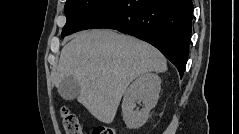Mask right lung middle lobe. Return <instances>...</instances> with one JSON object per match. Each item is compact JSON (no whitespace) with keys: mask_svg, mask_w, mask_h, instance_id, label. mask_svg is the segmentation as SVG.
Returning a JSON list of instances; mask_svg holds the SVG:
<instances>
[{"mask_svg":"<svg viewBox=\"0 0 239 134\" xmlns=\"http://www.w3.org/2000/svg\"><path fill=\"white\" fill-rule=\"evenodd\" d=\"M116 0H67L65 4L66 24L62 38L83 28L103 9Z\"/></svg>","mask_w":239,"mask_h":134,"instance_id":"dd1d6c3e","label":"right lung middle lobe"}]
</instances>
